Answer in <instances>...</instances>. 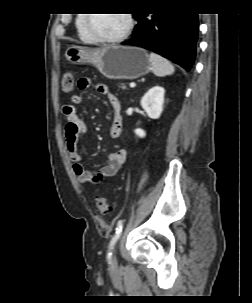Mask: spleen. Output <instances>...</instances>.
I'll list each match as a JSON object with an SVG mask.
<instances>
[{
	"mask_svg": "<svg viewBox=\"0 0 252 303\" xmlns=\"http://www.w3.org/2000/svg\"><path fill=\"white\" fill-rule=\"evenodd\" d=\"M149 60L152 64V72L158 77L172 75L175 71L174 66L158 54L150 53Z\"/></svg>",
	"mask_w": 252,
	"mask_h": 303,
	"instance_id": "1",
	"label": "spleen"
}]
</instances>
